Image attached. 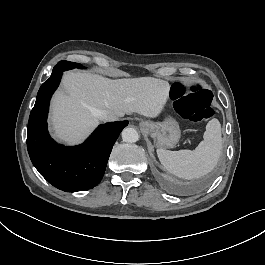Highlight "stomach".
<instances>
[{
    "label": "stomach",
    "instance_id": "obj_1",
    "mask_svg": "<svg viewBox=\"0 0 265 265\" xmlns=\"http://www.w3.org/2000/svg\"><path fill=\"white\" fill-rule=\"evenodd\" d=\"M140 127L154 139L155 146L159 148L175 147L181 136L178 122L173 118L163 122L142 121Z\"/></svg>",
    "mask_w": 265,
    "mask_h": 265
}]
</instances>
